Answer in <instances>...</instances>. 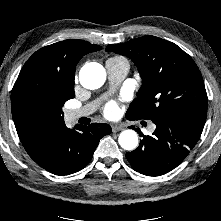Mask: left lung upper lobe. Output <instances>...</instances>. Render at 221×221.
Wrapping results in <instances>:
<instances>
[{
	"mask_svg": "<svg viewBox=\"0 0 221 221\" xmlns=\"http://www.w3.org/2000/svg\"><path fill=\"white\" fill-rule=\"evenodd\" d=\"M106 51L132 59L142 78L127 118L205 123L208 99L202 75L193 59L176 44L144 36L110 44Z\"/></svg>",
	"mask_w": 221,
	"mask_h": 221,
	"instance_id": "obj_1",
	"label": "left lung upper lobe"
}]
</instances>
